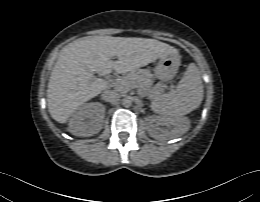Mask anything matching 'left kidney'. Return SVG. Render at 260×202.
<instances>
[{"instance_id": "5707ae66", "label": "left kidney", "mask_w": 260, "mask_h": 202, "mask_svg": "<svg viewBox=\"0 0 260 202\" xmlns=\"http://www.w3.org/2000/svg\"><path fill=\"white\" fill-rule=\"evenodd\" d=\"M147 120L150 121V126H149L150 136L155 139H159L162 136H164V134L159 132V125L175 127L171 131V133H169V136L172 138L178 134L179 132L178 127L180 126V124L187 122L185 119H179L174 117H159V116H149L147 117Z\"/></svg>"}]
</instances>
